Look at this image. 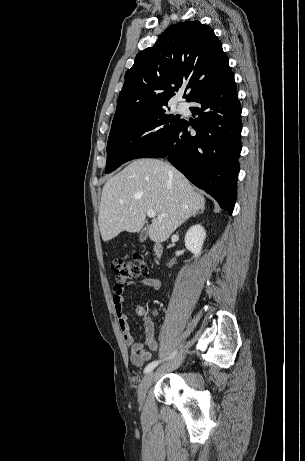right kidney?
Masks as SVG:
<instances>
[{
	"instance_id": "1",
	"label": "right kidney",
	"mask_w": 305,
	"mask_h": 461,
	"mask_svg": "<svg viewBox=\"0 0 305 461\" xmlns=\"http://www.w3.org/2000/svg\"><path fill=\"white\" fill-rule=\"evenodd\" d=\"M206 238V231L200 224L189 228L185 235V246L197 258L201 254L203 242Z\"/></svg>"
}]
</instances>
